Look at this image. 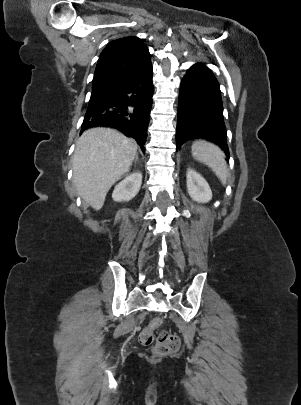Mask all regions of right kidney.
Returning <instances> with one entry per match:
<instances>
[{
    "label": "right kidney",
    "instance_id": "obj_1",
    "mask_svg": "<svg viewBox=\"0 0 301 405\" xmlns=\"http://www.w3.org/2000/svg\"><path fill=\"white\" fill-rule=\"evenodd\" d=\"M142 183V174L133 172L125 177L119 184L116 185L112 198L116 202L130 201L140 190Z\"/></svg>",
    "mask_w": 301,
    "mask_h": 405
}]
</instances>
